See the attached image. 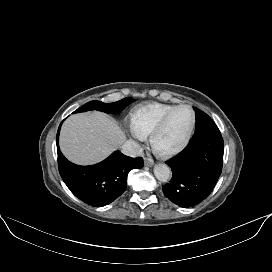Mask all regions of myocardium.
Returning <instances> with one entry per match:
<instances>
[{"label": "myocardium", "mask_w": 272, "mask_h": 272, "mask_svg": "<svg viewBox=\"0 0 272 272\" xmlns=\"http://www.w3.org/2000/svg\"><path fill=\"white\" fill-rule=\"evenodd\" d=\"M180 109H186L190 112V114H191L190 127H189L186 135L183 137V139L176 146L171 147V148H162L161 146L158 145V138L161 135V133L163 132L170 117L177 110H180ZM195 125H196V116H195L193 109L190 106L184 105V104L175 106L173 109H171L168 113H166L161 118V120L159 121V123L157 124L155 129L150 134V144H151L153 151L156 154H158L160 156H164V157L172 156V155L177 154L178 152L182 151L188 145L189 141L191 140V137H192L194 130H195Z\"/></svg>", "instance_id": "obj_1"}]
</instances>
